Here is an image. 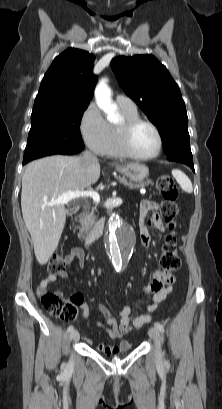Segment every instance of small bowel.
<instances>
[{
    "label": "small bowel",
    "instance_id": "small-bowel-1",
    "mask_svg": "<svg viewBox=\"0 0 222 409\" xmlns=\"http://www.w3.org/2000/svg\"><path fill=\"white\" fill-rule=\"evenodd\" d=\"M157 210L158 204L154 201L143 200L140 204L139 234L141 242L146 248L150 246L149 227L154 228L159 232L165 230L163 220ZM149 213H151V216L146 220ZM64 259L67 266L72 264L75 260H78L80 266L84 267L85 252L80 247H74ZM153 273L154 279L149 281L146 287V293L148 296L152 297V300L140 313L132 315L130 307L125 305L119 311L118 316H114L106 307L100 305L97 306V308L105 315V320L98 323V326L105 329L111 339H122L133 328H139L149 322L151 319V313L172 292L174 278L171 277L166 280L165 273L159 268L155 269ZM58 277L65 278L67 277V274L61 272L59 275H49L39 284L37 289L38 294L47 291ZM79 308L82 310L83 318H87L90 311L89 306L85 303H80ZM86 341L92 343L91 339H87ZM130 348L131 344L127 341H122L118 345L100 344L97 347L98 351L106 355H113L127 351Z\"/></svg>",
    "mask_w": 222,
    "mask_h": 409
}]
</instances>
